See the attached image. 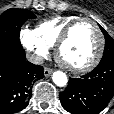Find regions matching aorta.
Masks as SVG:
<instances>
[{"mask_svg": "<svg viewBox=\"0 0 114 114\" xmlns=\"http://www.w3.org/2000/svg\"><path fill=\"white\" fill-rule=\"evenodd\" d=\"M52 80L59 87L67 85L68 82L66 74L62 71H55L52 75Z\"/></svg>", "mask_w": 114, "mask_h": 114, "instance_id": "aorta-1", "label": "aorta"}]
</instances>
